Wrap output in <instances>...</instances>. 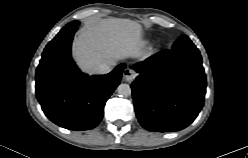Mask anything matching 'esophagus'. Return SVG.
I'll return each instance as SVG.
<instances>
[{
    "instance_id": "obj_1",
    "label": "esophagus",
    "mask_w": 248,
    "mask_h": 158,
    "mask_svg": "<svg viewBox=\"0 0 248 158\" xmlns=\"http://www.w3.org/2000/svg\"><path fill=\"white\" fill-rule=\"evenodd\" d=\"M136 77V73L134 70L130 69V68H126L123 71V79L126 82H132L134 80V78Z\"/></svg>"
}]
</instances>
